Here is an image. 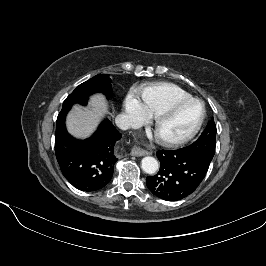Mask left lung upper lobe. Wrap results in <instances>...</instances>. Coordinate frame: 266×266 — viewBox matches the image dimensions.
Segmentation results:
<instances>
[{
  "mask_svg": "<svg viewBox=\"0 0 266 266\" xmlns=\"http://www.w3.org/2000/svg\"><path fill=\"white\" fill-rule=\"evenodd\" d=\"M216 144V125L212 119L201 136L185 150L190 154L199 157L206 164H210L214 153Z\"/></svg>",
  "mask_w": 266,
  "mask_h": 266,
  "instance_id": "5c2ea615",
  "label": "left lung upper lobe"
}]
</instances>
